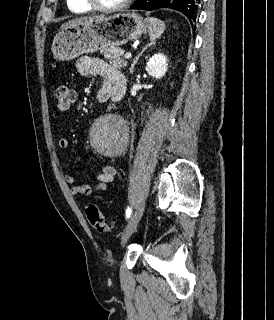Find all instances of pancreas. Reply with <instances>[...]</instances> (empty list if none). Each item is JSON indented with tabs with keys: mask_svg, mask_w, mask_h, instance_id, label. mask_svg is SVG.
Segmentation results:
<instances>
[{
	"mask_svg": "<svg viewBox=\"0 0 274 320\" xmlns=\"http://www.w3.org/2000/svg\"><path fill=\"white\" fill-rule=\"evenodd\" d=\"M124 52L125 50H121V48H106L101 54H103L105 60H109L112 66L119 68V70H124L128 66V62H125L122 58Z\"/></svg>",
	"mask_w": 274,
	"mask_h": 320,
	"instance_id": "obj_1",
	"label": "pancreas"
}]
</instances>
